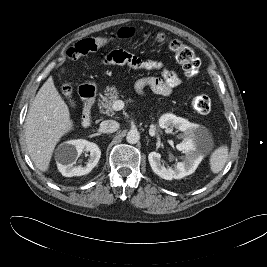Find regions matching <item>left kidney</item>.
Here are the masks:
<instances>
[{
	"label": "left kidney",
	"mask_w": 267,
	"mask_h": 267,
	"mask_svg": "<svg viewBox=\"0 0 267 267\" xmlns=\"http://www.w3.org/2000/svg\"><path fill=\"white\" fill-rule=\"evenodd\" d=\"M159 126L161 128L175 127L184 133L183 141L177 144L176 148L185 156L184 160L178 162L175 168H166L161 164V155L157 152H151L148 155V160L153 172L165 180L181 179L192 174L200 163V158L194 153V132L198 131V127L186 119L170 113L160 117Z\"/></svg>",
	"instance_id": "left-kidney-1"
}]
</instances>
